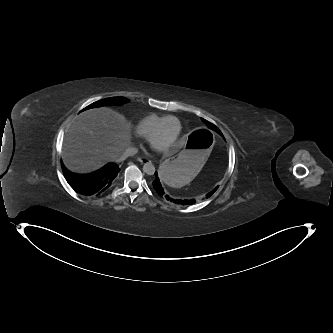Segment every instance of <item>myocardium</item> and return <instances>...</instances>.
<instances>
[{
    "label": "myocardium",
    "instance_id": "1",
    "mask_svg": "<svg viewBox=\"0 0 333 333\" xmlns=\"http://www.w3.org/2000/svg\"><path fill=\"white\" fill-rule=\"evenodd\" d=\"M170 119H174L176 122L178 121V118L176 116H173V115H170V116H167L166 118H164L160 122V124L157 126V128L154 130V132L151 134V136L149 137V141L152 145H154L155 140H156L157 136L160 134V132L162 131L165 123ZM178 133H177V135L175 136V138L173 139L172 142H170L168 145H166L165 147L162 148L163 151H170V150L174 149L177 146V144H178Z\"/></svg>",
    "mask_w": 333,
    "mask_h": 333
}]
</instances>
